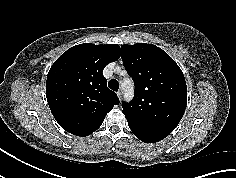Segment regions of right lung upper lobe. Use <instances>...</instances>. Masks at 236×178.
<instances>
[{"label":"right lung upper lobe","mask_w":236,"mask_h":178,"mask_svg":"<svg viewBox=\"0 0 236 178\" xmlns=\"http://www.w3.org/2000/svg\"><path fill=\"white\" fill-rule=\"evenodd\" d=\"M119 45L79 44L63 53L49 70L46 97L58 124L77 136H88L103 123L115 104L104 67L120 58Z\"/></svg>","instance_id":"right-lung-upper-lobe-1"}]
</instances>
